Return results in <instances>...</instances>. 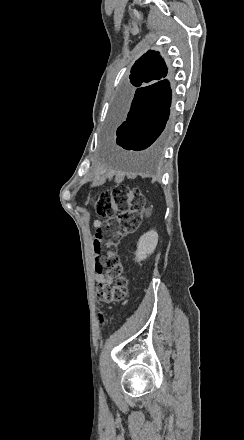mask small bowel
Wrapping results in <instances>:
<instances>
[{"mask_svg": "<svg viewBox=\"0 0 244 440\" xmlns=\"http://www.w3.org/2000/svg\"><path fill=\"white\" fill-rule=\"evenodd\" d=\"M101 225H102V223L100 220H94V222H93L94 228L98 229ZM95 280L99 284H111L113 282L112 278L106 276L104 273L99 272L97 270L95 273Z\"/></svg>", "mask_w": 244, "mask_h": 440, "instance_id": "small-bowel-1", "label": "small bowel"}]
</instances>
